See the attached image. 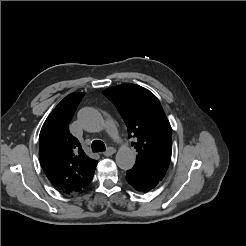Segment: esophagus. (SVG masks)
Masks as SVG:
<instances>
[{
	"mask_svg": "<svg viewBox=\"0 0 246 246\" xmlns=\"http://www.w3.org/2000/svg\"><path fill=\"white\" fill-rule=\"evenodd\" d=\"M116 152V150L113 147H108V149L103 153L104 156L108 157L113 155Z\"/></svg>",
	"mask_w": 246,
	"mask_h": 246,
	"instance_id": "1",
	"label": "esophagus"
}]
</instances>
